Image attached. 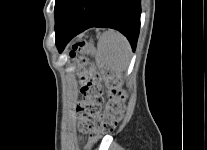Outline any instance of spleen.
Returning a JSON list of instances; mask_svg holds the SVG:
<instances>
[{
	"label": "spleen",
	"instance_id": "3e777b00",
	"mask_svg": "<svg viewBox=\"0 0 207 150\" xmlns=\"http://www.w3.org/2000/svg\"><path fill=\"white\" fill-rule=\"evenodd\" d=\"M100 61L117 74L125 71L131 59V47L127 39L118 31L109 29L97 43Z\"/></svg>",
	"mask_w": 207,
	"mask_h": 150
}]
</instances>
